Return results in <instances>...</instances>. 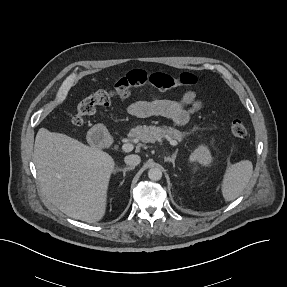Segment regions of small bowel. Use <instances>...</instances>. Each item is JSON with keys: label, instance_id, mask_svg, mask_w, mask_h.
Here are the masks:
<instances>
[{"label": "small bowel", "instance_id": "c3829d8e", "mask_svg": "<svg viewBox=\"0 0 287 287\" xmlns=\"http://www.w3.org/2000/svg\"><path fill=\"white\" fill-rule=\"evenodd\" d=\"M202 107L201 100L194 91H187L180 100L152 96L139 100L128 107V113L136 117L163 116L170 119L174 126H184L191 114Z\"/></svg>", "mask_w": 287, "mask_h": 287}]
</instances>
